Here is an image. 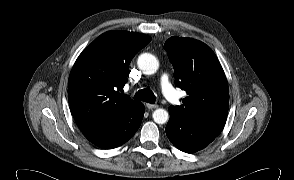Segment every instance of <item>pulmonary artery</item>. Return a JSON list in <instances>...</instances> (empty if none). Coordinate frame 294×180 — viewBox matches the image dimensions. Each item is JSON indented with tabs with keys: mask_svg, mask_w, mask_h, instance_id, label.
Masks as SVG:
<instances>
[{
	"mask_svg": "<svg viewBox=\"0 0 294 180\" xmlns=\"http://www.w3.org/2000/svg\"><path fill=\"white\" fill-rule=\"evenodd\" d=\"M163 95L172 103L176 104L179 100L177 93L170 84L167 75H164L160 82Z\"/></svg>",
	"mask_w": 294,
	"mask_h": 180,
	"instance_id": "pulmonary-artery-1",
	"label": "pulmonary artery"
}]
</instances>
